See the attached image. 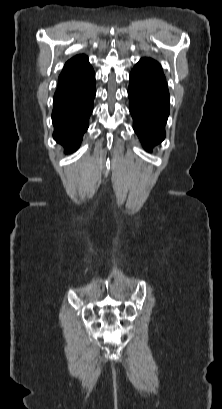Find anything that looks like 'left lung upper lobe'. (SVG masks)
<instances>
[{"instance_id": "left-lung-upper-lobe-1", "label": "left lung upper lobe", "mask_w": 222, "mask_h": 409, "mask_svg": "<svg viewBox=\"0 0 222 409\" xmlns=\"http://www.w3.org/2000/svg\"><path fill=\"white\" fill-rule=\"evenodd\" d=\"M134 69L145 71L153 75L165 78L160 64L150 58L141 59L135 65Z\"/></svg>"}]
</instances>
